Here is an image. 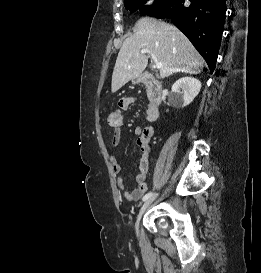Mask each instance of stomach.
I'll use <instances>...</instances> for the list:
<instances>
[{
  "label": "stomach",
  "mask_w": 261,
  "mask_h": 273,
  "mask_svg": "<svg viewBox=\"0 0 261 273\" xmlns=\"http://www.w3.org/2000/svg\"><path fill=\"white\" fill-rule=\"evenodd\" d=\"M133 80H134V82L138 83V82L141 81V78H140V77H137V78H135V79H133Z\"/></svg>",
  "instance_id": "stomach-1"
}]
</instances>
